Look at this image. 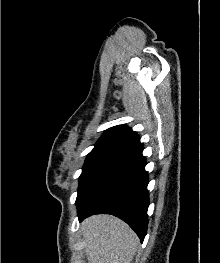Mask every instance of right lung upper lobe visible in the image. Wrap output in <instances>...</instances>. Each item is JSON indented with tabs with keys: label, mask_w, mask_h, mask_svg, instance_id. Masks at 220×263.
<instances>
[{
	"label": "right lung upper lobe",
	"mask_w": 220,
	"mask_h": 263,
	"mask_svg": "<svg viewBox=\"0 0 220 263\" xmlns=\"http://www.w3.org/2000/svg\"><path fill=\"white\" fill-rule=\"evenodd\" d=\"M140 143L137 134L124 125L112 127L102 135L91 152L119 153Z\"/></svg>",
	"instance_id": "obj_1"
}]
</instances>
